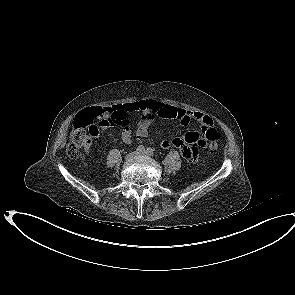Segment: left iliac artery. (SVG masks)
<instances>
[{
  "label": "left iliac artery",
  "instance_id": "obj_1",
  "mask_svg": "<svg viewBox=\"0 0 295 295\" xmlns=\"http://www.w3.org/2000/svg\"><path fill=\"white\" fill-rule=\"evenodd\" d=\"M148 155L152 156L153 155V149L152 148H147L145 151Z\"/></svg>",
  "mask_w": 295,
  "mask_h": 295
}]
</instances>
